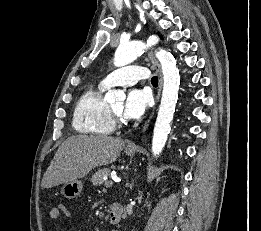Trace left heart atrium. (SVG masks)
Here are the masks:
<instances>
[{"label":"left heart atrium","instance_id":"1","mask_svg":"<svg viewBox=\"0 0 261 231\" xmlns=\"http://www.w3.org/2000/svg\"><path fill=\"white\" fill-rule=\"evenodd\" d=\"M150 103V95L144 89L133 88L126 97L122 114L126 119H139Z\"/></svg>","mask_w":261,"mask_h":231}]
</instances>
